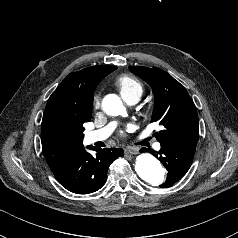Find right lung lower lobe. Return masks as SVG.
Segmentation results:
<instances>
[{
    "mask_svg": "<svg viewBox=\"0 0 238 238\" xmlns=\"http://www.w3.org/2000/svg\"><path fill=\"white\" fill-rule=\"evenodd\" d=\"M88 148L95 150L96 155L92 156L83 148L68 163L52 171L58 182L70 192L88 194L100 189L107 180L109 165L124 155L121 148Z\"/></svg>",
    "mask_w": 238,
    "mask_h": 238,
    "instance_id": "1",
    "label": "right lung lower lobe"
}]
</instances>
